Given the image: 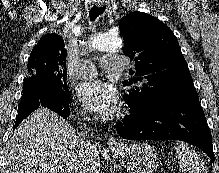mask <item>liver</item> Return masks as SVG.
Instances as JSON below:
<instances>
[{"label": "liver", "mask_w": 219, "mask_h": 173, "mask_svg": "<svg viewBox=\"0 0 219 173\" xmlns=\"http://www.w3.org/2000/svg\"><path fill=\"white\" fill-rule=\"evenodd\" d=\"M80 144L73 127L48 108L40 107L16 128L1 173H74ZM99 173L100 158L91 162Z\"/></svg>", "instance_id": "1"}]
</instances>
